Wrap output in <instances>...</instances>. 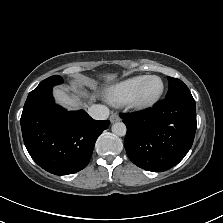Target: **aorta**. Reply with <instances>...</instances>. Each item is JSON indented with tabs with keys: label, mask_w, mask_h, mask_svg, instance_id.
<instances>
[{
	"label": "aorta",
	"mask_w": 223,
	"mask_h": 223,
	"mask_svg": "<svg viewBox=\"0 0 223 223\" xmlns=\"http://www.w3.org/2000/svg\"><path fill=\"white\" fill-rule=\"evenodd\" d=\"M111 131L116 135L123 136L126 133V126L123 122L118 121L112 124Z\"/></svg>",
	"instance_id": "aorta-1"
}]
</instances>
